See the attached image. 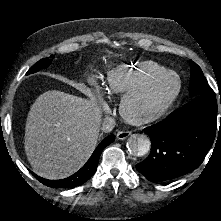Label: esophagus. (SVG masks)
<instances>
[{"mask_svg":"<svg viewBox=\"0 0 221 221\" xmlns=\"http://www.w3.org/2000/svg\"><path fill=\"white\" fill-rule=\"evenodd\" d=\"M131 135L130 131H120L117 133V138L119 140H124Z\"/></svg>","mask_w":221,"mask_h":221,"instance_id":"obj_1","label":"esophagus"}]
</instances>
